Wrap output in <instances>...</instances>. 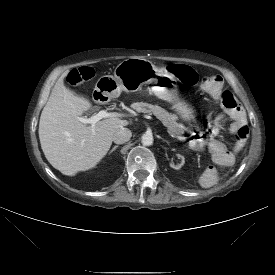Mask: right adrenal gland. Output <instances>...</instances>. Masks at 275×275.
Returning a JSON list of instances; mask_svg holds the SVG:
<instances>
[{
    "label": "right adrenal gland",
    "instance_id": "right-adrenal-gland-1",
    "mask_svg": "<svg viewBox=\"0 0 275 275\" xmlns=\"http://www.w3.org/2000/svg\"><path fill=\"white\" fill-rule=\"evenodd\" d=\"M118 147H119L118 145L114 146V147L110 150L109 154H111L113 151H115Z\"/></svg>",
    "mask_w": 275,
    "mask_h": 275
}]
</instances>
